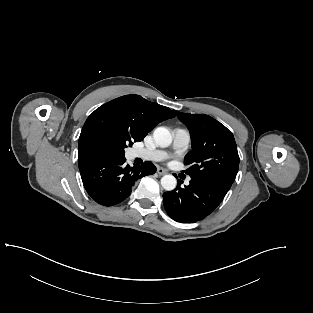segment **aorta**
Returning a JSON list of instances; mask_svg holds the SVG:
<instances>
[{
  "label": "aorta",
  "mask_w": 313,
  "mask_h": 313,
  "mask_svg": "<svg viewBox=\"0 0 313 313\" xmlns=\"http://www.w3.org/2000/svg\"><path fill=\"white\" fill-rule=\"evenodd\" d=\"M153 138L156 144L160 147H168L172 143V136L169 130L165 127H158L154 130ZM177 180L173 175H164L161 178V186L166 191L175 189Z\"/></svg>",
  "instance_id": "aorta-1"
}]
</instances>
